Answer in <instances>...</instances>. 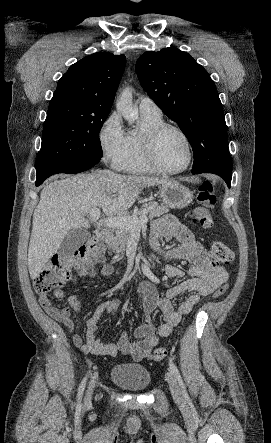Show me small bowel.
Returning <instances> with one entry per match:
<instances>
[{"label": "small bowel", "instance_id": "1", "mask_svg": "<svg viewBox=\"0 0 271 443\" xmlns=\"http://www.w3.org/2000/svg\"><path fill=\"white\" fill-rule=\"evenodd\" d=\"M176 240L179 245L168 251L160 250V240ZM150 245L153 251L162 253L166 260L181 259L189 263V277L168 289L165 297H160L155 288L142 283L139 286L145 322L135 330V340L131 341L129 335L123 332L114 343H104L96 337V331L100 318L108 313H115L120 305L119 299H113L101 303L91 318L86 322L85 339L74 333V322L68 307H56L47 294L39 296V302L46 313L72 332L73 343L84 353L94 355H107L114 357L118 354L128 355L135 361H140L150 354L158 344L159 338L168 337L174 328L181 322L183 316L188 315L201 297L213 293L228 279L227 271L219 264L211 261L204 255L203 245L195 238L190 229L172 215L163 216L153 226ZM114 272L110 264H104L101 274L109 277ZM96 266L93 263L82 268L77 276L94 277ZM165 274L168 278H183L185 271L172 264L165 266ZM76 278L72 279L75 283ZM188 294L176 307L171 300L181 294ZM55 297L63 298L64 291L57 289ZM68 304L75 308L82 307L76 296L68 298ZM156 309L161 311L163 322L156 328L152 315Z\"/></svg>", "mask_w": 271, "mask_h": 443}]
</instances>
